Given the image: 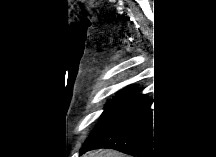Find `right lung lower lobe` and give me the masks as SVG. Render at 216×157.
Segmentation results:
<instances>
[{"instance_id":"1","label":"right lung lower lobe","mask_w":216,"mask_h":157,"mask_svg":"<svg viewBox=\"0 0 216 157\" xmlns=\"http://www.w3.org/2000/svg\"><path fill=\"white\" fill-rule=\"evenodd\" d=\"M146 94L136 93L134 100L118 125L94 145L83 148L80 153L110 148L134 157L159 156V127L156 111Z\"/></svg>"}]
</instances>
